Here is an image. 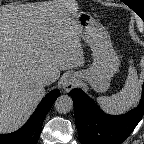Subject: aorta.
<instances>
[{
	"mask_svg": "<svg viewBox=\"0 0 144 144\" xmlns=\"http://www.w3.org/2000/svg\"><path fill=\"white\" fill-rule=\"evenodd\" d=\"M54 107L58 113L66 114L73 108L72 98L68 95H61L56 99Z\"/></svg>",
	"mask_w": 144,
	"mask_h": 144,
	"instance_id": "obj_1",
	"label": "aorta"
}]
</instances>
